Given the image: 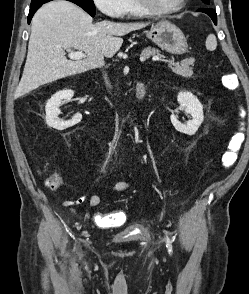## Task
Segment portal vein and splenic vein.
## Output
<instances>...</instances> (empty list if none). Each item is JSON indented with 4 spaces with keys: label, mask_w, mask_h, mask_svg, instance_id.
I'll list each match as a JSON object with an SVG mask.
<instances>
[{
    "label": "portal vein and splenic vein",
    "mask_w": 249,
    "mask_h": 294,
    "mask_svg": "<svg viewBox=\"0 0 249 294\" xmlns=\"http://www.w3.org/2000/svg\"><path fill=\"white\" fill-rule=\"evenodd\" d=\"M69 51V54H68V57L72 60H80V59H83L85 58V54L82 52V51H71V50H68ZM145 57H142L141 60H144ZM153 61H159L160 60V57L159 56H154L152 58Z\"/></svg>",
    "instance_id": "portal-vein-and-splenic-vein-1"
}]
</instances>
